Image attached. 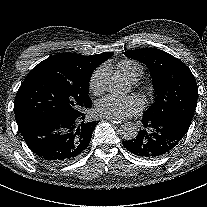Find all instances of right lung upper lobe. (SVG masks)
Wrapping results in <instances>:
<instances>
[{
	"label": "right lung upper lobe",
	"mask_w": 207,
	"mask_h": 207,
	"mask_svg": "<svg viewBox=\"0 0 207 207\" xmlns=\"http://www.w3.org/2000/svg\"><path fill=\"white\" fill-rule=\"evenodd\" d=\"M113 52H106L93 56H83L75 53H59L36 65L30 73H54L79 81H90L93 71Z\"/></svg>",
	"instance_id": "obj_1"
}]
</instances>
